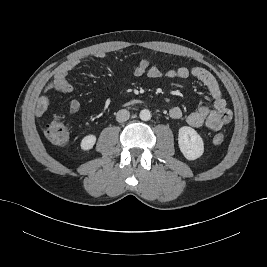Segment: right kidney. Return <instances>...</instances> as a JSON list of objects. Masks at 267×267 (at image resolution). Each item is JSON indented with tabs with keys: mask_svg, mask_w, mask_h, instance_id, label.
<instances>
[{
	"mask_svg": "<svg viewBox=\"0 0 267 267\" xmlns=\"http://www.w3.org/2000/svg\"><path fill=\"white\" fill-rule=\"evenodd\" d=\"M96 142V137L93 134L86 135L81 141V149L84 151L90 150L93 148Z\"/></svg>",
	"mask_w": 267,
	"mask_h": 267,
	"instance_id": "1",
	"label": "right kidney"
}]
</instances>
